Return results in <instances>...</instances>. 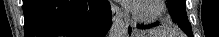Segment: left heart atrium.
Returning <instances> with one entry per match:
<instances>
[{
	"label": "left heart atrium",
	"mask_w": 219,
	"mask_h": 37,
	"mask_svg": "<svg viewBox=\"0 0 219 37\" xmlns=\"http://www.w3.org/2000/svg\"><path fill=\"white\" fill-rule=\"evenodd\" d=\"M123 2L128 6V8H130V7L134 6L138 1H136V0H125Z\"/></svg>",
	"instance_id": "obj_1"
}]
</instances>
